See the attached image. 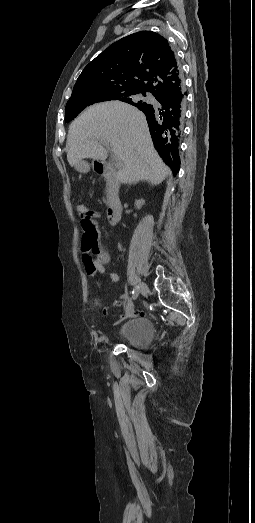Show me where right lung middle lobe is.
<instances>
[{
    "label": "right lung middle lobe",
    "instance_id": "right-lung-middle-lobe-1",
    "mask_svg": "<svg viewBox=\"0 0 255 523\" xmlns=\"http://www.w3.org/2000/svg\"><path fill=\"white\" fill-rule=\"evenodd\" d=\"M141 93L142 92H127V93H123V94L117 95V96H110V97L102 98V99H99V100H96V101L90 102V103L66 105L65 121L70 122L87 106H90L94 103L102 102V101H109V100H120V101H123L126 103H130L131 101L139 100ZM142 94H143V96L146 95L145 93H142Z\"/></svg>",
    "mask_w": 255,
    "mask_h": 523
}]
</instances>
